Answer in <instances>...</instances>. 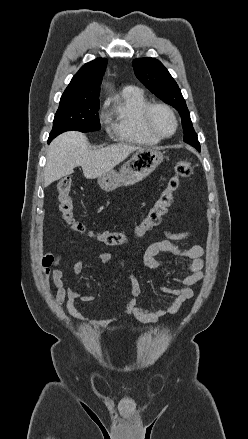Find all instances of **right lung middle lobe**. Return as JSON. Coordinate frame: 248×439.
I'll return each instance as SVG.
<instances>
[{
  "instance_id": "1",
  "label": "right lung middle lobe",
  "mask_w": 248,
  "mask_h": 439,
  "mask_svg": "<svg viewBox=\"0 0 248 439\" xmlns=\"http://www.w3.org/2000/svg\"><path fill=\"white\" fill-rule=\"evenodd\" d=\"M98 110L99 99H61L54 117L53 129L49 135L48 143L65 131L92 132L100 130Z\"/></svg>"
}]
</instances>
